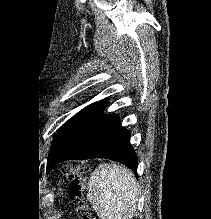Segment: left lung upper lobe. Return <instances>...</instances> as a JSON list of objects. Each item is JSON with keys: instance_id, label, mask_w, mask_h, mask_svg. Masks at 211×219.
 Listing matches in <instances>:
<instances>
[{"instance_id": "obj_1", "label": "left lung upper lobe", "mask_w": 211, "mask_h": 219, "mask_svg": "<svg viewBox=\"0 0 211 219\" xmlns=\"http://www.w3.org/2000/svg\"><path fill=\"white\" fill-rule=\"evenodd\" d=\"M94 104H91L87 107H85L83 110H81L80 112H78L76 115H74L71 119H69L61 128L60 130L57 132L56 136L54 137V141L52 144V148L50 150L49 153V157L53 154V152L55 151V149L58 147V145L60 144V142L62 141V139L64 138L65 134L69 131V129L76 123V121L82 116L84 115Z\"/></svg>"}]
</instances>
